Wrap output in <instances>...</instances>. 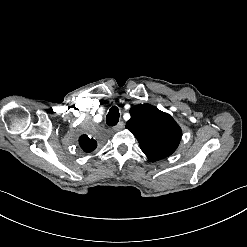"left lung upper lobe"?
I'll return each mask as SVG.
<instances>
[{
  "label": "left lung upper lobe",
  "mask_w": 247,
  "mask_h": 247,
  "mask_svg": "<svg viewBox=\"0 0 247 247\" xmlns=\"http://www.w3.org/2000/svg\"><path fill=\"white\" fill-rule=\"evenodd\" d=\"M130 114L126 128L135 135L149 159L160 160L176 150L182 131L169 114L149 104L132 107Z\"/></svg>",
  "instance_id": "5c2ea615"
}]
</instances>
